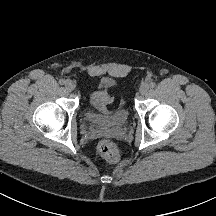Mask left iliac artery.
Listing matches in <instances>:
<instances>
[{"mask_svg": "<svg viewBox=\"0 0 216 216\" xmlns=\"http://www.w3.org/2000/svg\"><path fill=\"white\" fill-rule=\"evenodd\" d=\"M155 85H156V84H155L154 82H151V83L149 84L150 88H154Z\"/></svg>", "mask_w": 216, "mask_h": 216, "instance_id": "left-iliac-artery-1", "label": "left iliac artery"}]
</instances>
